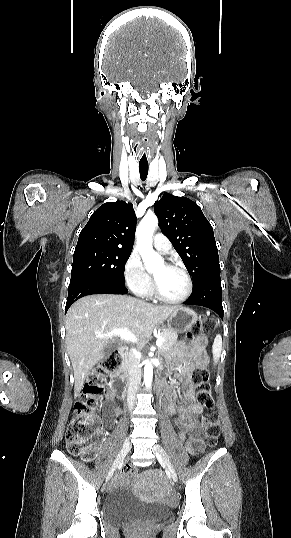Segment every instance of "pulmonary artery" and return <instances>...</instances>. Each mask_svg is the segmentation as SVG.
<instances>
[{
    "label": "pulmonary artery",
    "mask_w": 291,
    "mask_h": 538,
    "mask_svg": "<svg viewBox=\"0 0 291 538\" xmlns=\"http://www.w3.org/2000/svg\"><path fill=\"white\" fill-rule=\"evenodd\" d=\"M153 246L156 250H158L162 254L170 253L171 248H172L169 239L161 233H158L154 236Z\"/></svg>",
    "instance_id": "pulmonary-artery-1"
}]
</instances>
